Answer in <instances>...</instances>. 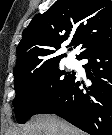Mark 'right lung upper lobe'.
<instances>
[{"label":"right lung upper lobe","instance_id":"obj_1","mask_svg":"<svg viewBox=\"0 0 112 135\" xmlns=\"http://www.w3.org/2000/svg\"><path fill=\"white\" fill-rule=\"evenodd\" d=\"M86 53L112 44L111 0H57L45 13L36 15L23 31L17 47L14 77L39 71L60 61L55 52L66 40Z\"/></svg>","mask_w":112,"mask_h":135}]
</instances>
